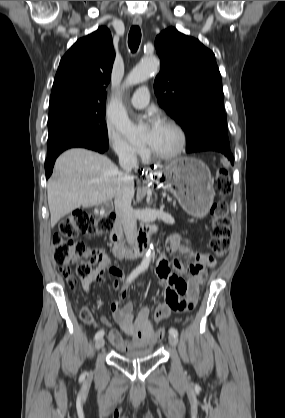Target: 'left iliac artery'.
<instances>
[{
	"mask_svg": "<svg viewBox=\"0 0 285 418\" xmlns=\"http://www.w3.org/2000/svg\"><path fill=\"white\" fill-rule=\"evenodd\" d=\"M169 333L171 334V335H174V336H178V330L176 329V328H174V327H171L170 329H169Z\"/></svg>",
	"mask_w": 285,
	"mask_h": 418,
	"instance_id": "1",
	"label": "left iliac artery"
}]
</instances>
